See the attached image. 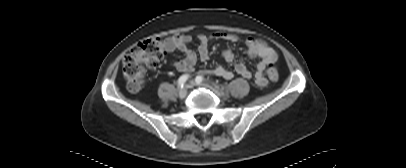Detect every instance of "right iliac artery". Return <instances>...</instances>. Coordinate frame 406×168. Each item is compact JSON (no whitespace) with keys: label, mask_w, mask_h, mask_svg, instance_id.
Segmentation results:
<instances>
[{"label":"right iliac artery","mask_w":406,"mask_h":168,"mask_svg":"<svg viewBox=\"0 0 406 168\" xmlns=\"http://www.w3.org/2000/svg\"><path fill=\"white\" fill-rule=\"evenodd\" d=\"M188 78H189V75L180 76L178 79V86L183 88V86H184L185 82L188 80Z\"/></svg>","instance_id":"1"}]
</instances>
